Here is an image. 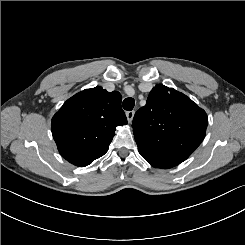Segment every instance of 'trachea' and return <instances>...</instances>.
<instances>
[{
	"label": "trachea",
	"instance_id": "obj_1",
	"mask_svg": "<svg viewBox=\"0 0 245 245\" xmlns=\"http://www.w3.org/2000/svg\"><path fill=\"white\" fill-rule=\"evenodd\" d=\"M134 99L133 98H126L124 99L123 101V108L126 110V111H131L134 107Z\"/></svg>",
	"mask_w": 245,
	"mask_h": 245
}]
</instances>
